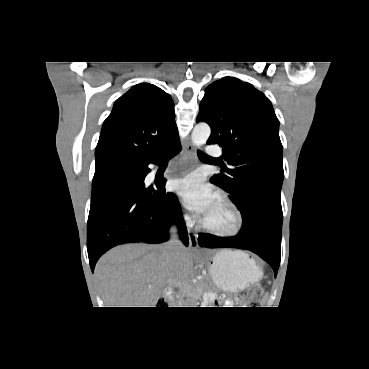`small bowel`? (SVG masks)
Masks as SVG:
<instances>
[{"label":"small bowel","mask_w":369,"mask_h":369,"mask_svg":"<svg viewBox=\"0 0 369 369\" xmlns=\"http://www.w3.org/2000/svg\"><path fill=\"white\" fill-rule=\"evenodd\" d=\"M213 299V295L212 294H208L207 297H206V300H212Z\"/></svg>","instance_id":"1"}]
</instances>
